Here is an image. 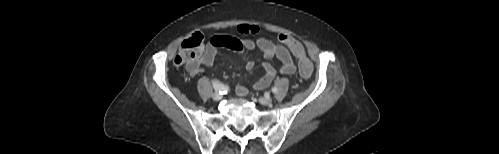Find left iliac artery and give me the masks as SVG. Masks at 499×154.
<instances>
[{"instance_id": "1", "label": "left iliac artery", "mask_w": 499, "mask_h": 154, "mask_svg": "<svg viewBox=\"0 0 499 154\" xmlns=\"http://www.w3.org/2000/svg\"><path fill=\"white\" fill-rule=\"evenodd\" d=\"M277 91H278L277 87H273V88H272V92H273V93H277Z\"/></svg>"}]
</instances>
